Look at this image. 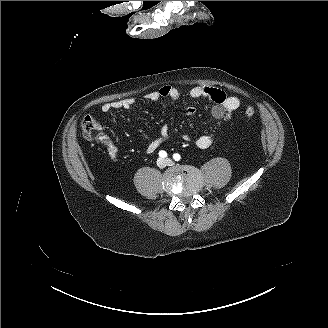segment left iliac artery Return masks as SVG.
I'll use <instances>...</instances> for the list:
<instances>
[{"label":"left iliac artery","instance_id":"obj_1","mask_svg":"<svg viewBox=\"0 0 328 328\" xmlns=\"http://www.w3.org/2000/svg\"><path fill=\"white\" fill-rule=\"evenodd\" d=\"M173 159L175 161H179L181 159L180 155L178 153L173 154Z\"/></svg>","mask_w":328,"mask_h":328}]
</instances>
